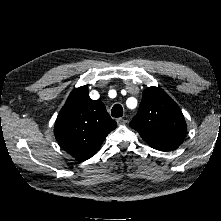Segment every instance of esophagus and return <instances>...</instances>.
I'll return each mask as SVG.
<instances>
[{"label": "esophagus", "mask_w": 221, "mask_h": 221, "mask_svg": "<svg viewBox=\"0 0 221 221\" xmlns=\"http://www.w3.org/2000/svg\"><path fill=\"white\" fill-rule=\"evenodd\" d=\"M118 123L119 124H125V120H123L122 118L118 119Z\"/></svg>", "instance_id": "34e87169"}]
</instances>
